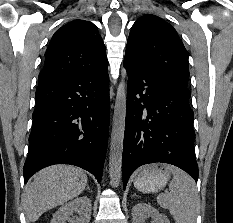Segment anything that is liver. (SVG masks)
<instances>
[{
    "label": "liver",
    "mask_w": 233,
    "mask_h": 223,
    "mask_svg": "<svg viewBox=\"0 0 233 223\" xmlns=\"http://www.w3.org/2000/svg\"><path fill=\"white\" fill-rule=\"evenodd\" d=\"M86 183L85 171L74 165H50L41 169L35 173L23 195L28 219L37 221L47 209L77 197L84 191Z\"/></svg>",
    "instance_id": "1"
}]
</instances>
